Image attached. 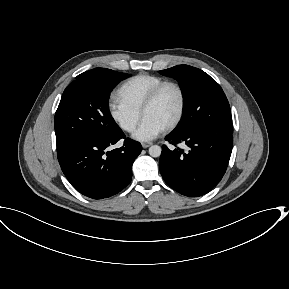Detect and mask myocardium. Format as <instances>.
<instances>
[{"instance_id": "myocardium-1", "label": "myocardium", "mask_w": 289, "mask_h": 289, "mask_svg": "<svg viewBox=\"0 0 289 289\" xmlns=\"http://www.w3.org/2000/svg\"><path fill=\"white\" fill-rule=\"evenodd\" d=\"M169 86H172L177 90V92L179 94V98H180V103H179V109H178V112H177L175 118L165 127V130H168V131L172 130L178 126V124L181 122V120L183 118L185 108H186L185 91L179 83H177L175 81H163L162 83L157 85L149 93V95L146 97V99L142 105V108H141V114H142V116H144V113L155 103V101L158 99L161 92L166 87H169Z\"/></svg>"}]
</instances>
